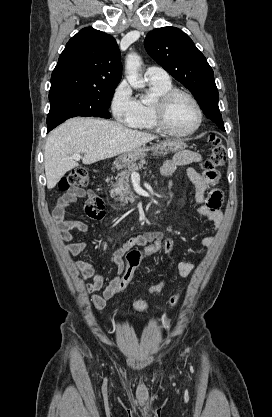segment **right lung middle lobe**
<instances>
[{
    "instance_id": "dd1d6c3e",
    "label": "right lung middle lobe",
    "mask_w": 272,
    "mask_h": 417,
    "mask_svg": "<svg viewBox=\"0 0 272 417\" xmlns=\"http://www.w3.org/2000/svg\"><path fill=\"white\" fill-rule=\"evenodd\" d=\"M115 87L98 91H59L49 93L50 111L47 116L48 132L66 119L82 117L110 118L108 108Z\"/></svg>"
}]
</instances>
